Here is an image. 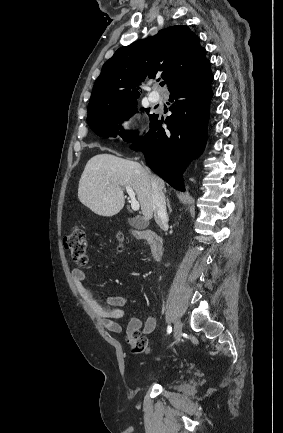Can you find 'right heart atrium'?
Here are the masks:
<instances>
[{"mask_svg":"<svg viewBox=\"0 0 283 433\" xmlns=\"http://www.w3.org/2000/svg\"><path fill=\"white\" fill-rule=\"evenodd\" d=\"M116 131L125 137H140V117L137 112L123 114L115 124Z\"/></svg>","mask_w":283,"mask_h":433,"instance_id":"right-heart-atrium-1","label":"right heart atrium"}]
</instances>
